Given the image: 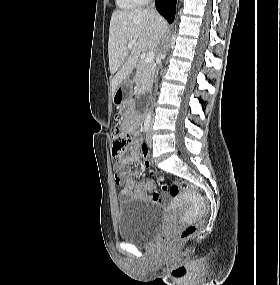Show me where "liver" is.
I'll list each match as a JSON object with an SVG mask.
<instances>
[{
    "instance_id": "6515ba94",
    "label": "liver",
    "mask_w": 280,
    "mask_h": 285,
    "mask_svg": "<svg viewBox=\"0 0 280 285\" xmlns=\"http://www.w3.org/2000/svg\"><path fill=\"white\" fill-rule=\"evenodd\" d=\"M167 30V22L155 11L143 8L115 11L109 28V69L114 74L111 91L117 87L135 67L143 51L154 50ZM136 39L132 49L127 45Z\"/></svg>"
}]
</instances>
